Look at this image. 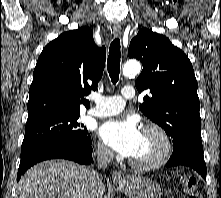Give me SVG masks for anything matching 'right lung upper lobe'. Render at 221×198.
Segmentation results:
<instances>
[{
  "mask_svg": "<svg viewBox=\"0 0 221 198\" xmlns=\"http://www.w3.org/2000/svg\"><path fill=\"white\" fill-rule=\"evenodd\" d=\"M106 60L105 46L94 43L93 31L81 27L62 33L43 49L33 73L27 122L80 112L84 96L96 89Z\"/></svg>",
  "mask_w": 221,
  "mask_h": 198,
  "instance_id": "right-lung-upper-lobe-1",
  "label": "right lung upper lobe"
}]
</instances>
